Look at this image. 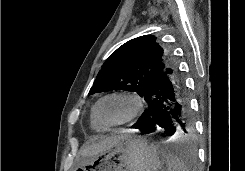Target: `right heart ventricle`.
Masks as SVG:
<instances>
[{"label":"right heart ventricle","instance_id":"obj_1","mask_svg":"<svg viewBox=\"0 0 245 171\" xmlns=\"http://www.w3.org/2000/svg\"><path fill=\"white\" fill-rule=\"evenodd\" d=\"M91 127L96 131H104L106 127L102 126L94 117L93 111L91 113Z\"/></svg>","mask_w":245,"mask_h":171}]
</instances>
